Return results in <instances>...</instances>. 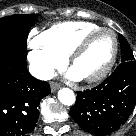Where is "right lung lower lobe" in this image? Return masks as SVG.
I'll use <instances>...</instances> for the list:
<instances>
[{
  "instance_id": "98d812e1",
  "label": "right lung lower lobe",
  "mask_w": 136,
  "mask_h": 136,
  "mask_svg": "<svg viewBox=\"0 0 136 136\" xmlns=\"http://www.w3.org/2000/svg\"><path fill=\"white\" fill-rule=\"evenodd\" d=\"M48 94L49 84L29 74L26 60L0 57V136H27Z\"/></svg>"
}]
</instances>
